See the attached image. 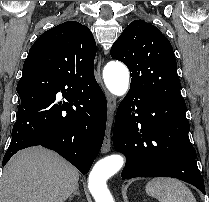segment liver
<instances>
[{"instance_id": "1", "label": "liver", "mask_w": 209, "mask_h": 202, "mask_svg": "<svg viewBox=\"0 0 209 202\" xmlns=\"http://www.w3.org/2000/svg\"><path fill=\"white\" fill-rule=\"evenodd\" d=\"M79 173L42 147L19 151L4 168L0 202H64L78 187Z\"/></svg>"}]
</instances>
